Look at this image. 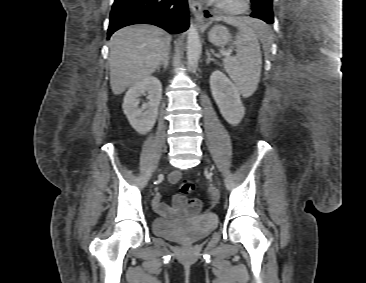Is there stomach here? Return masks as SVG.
Listing matches in <instances>:
<instances>
[{"mask_svg":"<svg viewBox=\"0 0 366 283\" xmlns=\"http://www.w3.org/2000/svg\"><path fill=\"white\" fill-rule=\"evenodd\" d=\"M208 38L213 45L224 46L230 41V34L227 28L216 26L209 32Z\"/></svg>","mask_w":366,"mask_h":283,"instance_id":"0dacf381","label":"stomach"}]
</instances>
